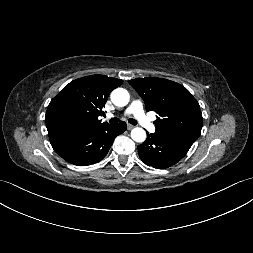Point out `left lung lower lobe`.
<instances>
[{
    "mask_svg": "<svg viewBox=\"0 0 253 253\" xmlns=\"http://www.w3.org/2000/svg\"><path fill=\"white\" fill-rule=\"evenodd\" d=\"M147 135L145 142L137 147L139 156L146 165L157 169H165L174 165L186 155L192 146L191 143L156 133L147 132Z\"/></svg>",
    "mask_w": 253,
    "mask_h": 253,
    "instance_id": "1",
    "label": "left lung lower lobe"
}]
</instances>
